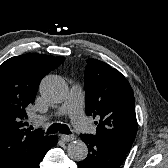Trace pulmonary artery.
<instances>
[{
  "label": "pulmonary artery",
  "instance_id": "1",
  "mask_svg": "<svg viewBox=\"0 0 168 168\" xmlns=\"http://www.w3.org/2000/svg\"><path fill=\"white\" fill-rule=\"evenodd\" d=\"M84 93L79 86H72L64 103L58 110V114H65L71 118L74 126L87 131L90 127L87 119L83 115Z\"/></svg>",
  "mask_w": 168,
  "mask_h": 168
}]
</instances>
